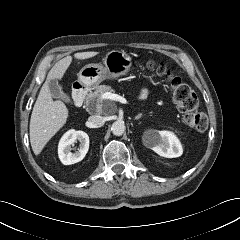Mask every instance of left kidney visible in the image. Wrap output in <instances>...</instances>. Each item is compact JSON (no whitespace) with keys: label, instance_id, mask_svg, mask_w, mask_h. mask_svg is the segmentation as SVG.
<instances>
[{"label":"left kidney","instance_id":"obj_1","mask_svg":"<svg viewBox=\"0 0 240 240\" xmlns=\"http://www.w3.org/2000/svg\"><path fill=\"white\" fill-rule=\"evenodd\" d=\"M145 145L166 158L179 157L183 153L177 137L169 131L148 130L144 134Z\"/></svg>","mask_w":240,"mask_h":240}]
</instances>
